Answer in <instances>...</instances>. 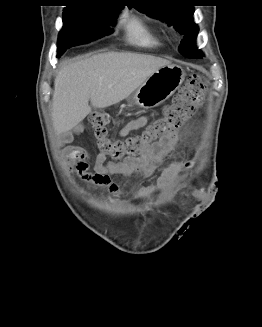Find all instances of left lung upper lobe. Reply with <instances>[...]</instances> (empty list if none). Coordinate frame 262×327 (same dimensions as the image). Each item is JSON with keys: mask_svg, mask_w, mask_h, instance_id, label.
Returning <instances> with one entry per match:
<instances>
[{"mask_svg": "<svg viewBox=\"0 0 262 327\" xmlns=\"http://www.w3.org/2000/svg\"><path fill=\"white\" fill-rule=\"evenodd\" d=\"M135 6L139 11L158 18L175 27L184 34L179 47L180 53L187 58H202V53L196 48L198 26L193 21L194 6L183 4L180 0H140Z\"/></svg>", "mask_w": 262, "mask_h": 327, "instance_id": "left-lung-upper-lobe-1", "label": "left lung upper lobe"}]
</instances>
